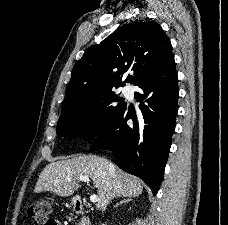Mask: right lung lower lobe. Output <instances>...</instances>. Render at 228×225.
I'll list each match as a JSON object with an SVG mask.
<instances>
[{"label": "right lung lower lobe", "mask_w": 228, "mask_h": 225, "mask_svg": "<svg viewBox=\"0 0 228 225\" xmlns=\"http://www.w3.org/2000/svg\"><path fill=\"white\" fill-rule=\"evenodd\" d=\"M135 93L140 112L125 108L109 127L96 136L90 152L102 148L113 152L116 164L143 179L153 194L162 182L178 111L177 72L174 55L144 76ZM132 119L133 125H127Z\"/></svg>", "instance_id": "1"}]
</instances>
